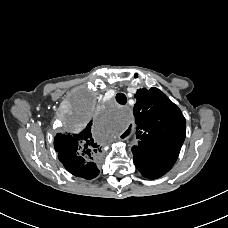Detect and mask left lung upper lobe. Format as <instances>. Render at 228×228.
Here are the masks:
<instances>
[{"label":"left lung upper lobe","mask_w":228,"mask_h":228,"mask_svg":"<svg viewBox=\"0 0 228 228\" xmlns=\"http://www.w3.org/2000/svg\"><path fill=\"white\" fill-rule=\"evenodd\" d=\"M135 98L133 112L139 141L132 150L177 159L186 136V120L181 110L154 87L137 90Z\"/></svg>","instance_id":"left-lung-upper-lobe-1"}]
</instances>
